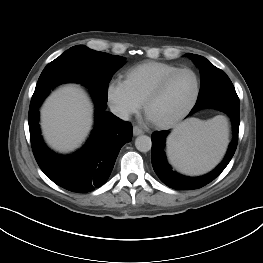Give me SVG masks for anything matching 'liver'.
<instances>
[{
	"label": "liver",
	"mask_w": 263,
	"mask_h": 263,
	"mask_svg": "<svg viewBox=\"0 0 263 263\" xmlns=\"http://www.w3.org/2000/svg\"><path fill=\"white\" fill-rule=\"evenodd\" d=\"M93 122V105L86 92L76 85L54 91L41 109V127L46 142L67 153L86 139Z\"/></svg>",
	"instance_id": "6515ba94"
}]
</instances>
